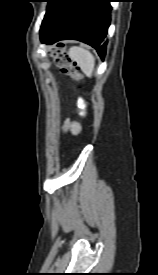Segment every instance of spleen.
Returning a JSON list of instances; mask_svg holds the SVG:
<instances>
[{
	"label": "spleen",
	"instance_id": "3e777b00",
	"mask_svg": "<svg viewBox=\"0 0 158 275\" xmlns=\"http://www.w3.org/2000/svg\"><path fill=\"white\" fill-rule=\"evenodd\" d=\"M69 56L77 63L86 76L91 77L95 67V58L90 51L82 47L72 46L69 49Z\"/></svg>",
	"mask_w": 158,
	"mask_h": 275
}]
</instances>
